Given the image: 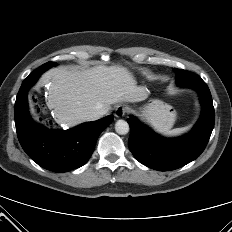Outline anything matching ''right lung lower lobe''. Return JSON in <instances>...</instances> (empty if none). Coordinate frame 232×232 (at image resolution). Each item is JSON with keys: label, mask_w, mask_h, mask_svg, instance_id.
<instances>
[{"label": "right lung lower lobe", "mask_w": 232, "mask_h": 232, "mask_svg": "<svg viewBox=\"0 0 232 232\" xmlns=\"http://www.w3.org/2000/svg\"><path fill=\"white\" fill-rule=\"evenodd\" d=\"M38 78L25 79L16 98L15 125L19 142L24 151L47 170L67 172L81 167L92 155L100 133L114 118L109 115L66 131L38 125L29 114L27 102L28 90Z\"/></svg>", "instance_id": "1"}]
</instances>
